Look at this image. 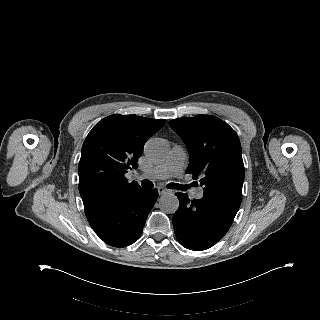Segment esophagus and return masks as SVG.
I'll list each match as a JSON object with an SVG mask.
<instances>
[{
    "instance_id": "1",
    "label": "esophagus",
    "mask_w": 320,
    "mask_h": 320,
    "mask_svg": "<svg viewBox=\"0 0 320 320\" xmlns=\"http://www.w3.org/2000/svg\"><path fill=\"white\" fill-rule=\"evenodd\" d=\"M169 192H170V190L167 189L166 187H162V186L158 187V194L159 195H163V194H166V193H169Z\"/></svg>"
}]
</instances>
